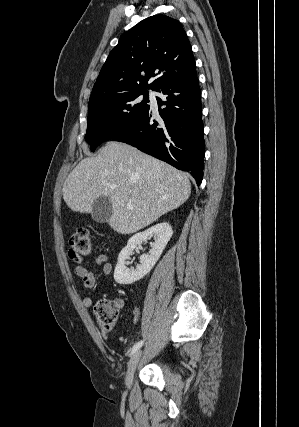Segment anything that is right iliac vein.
<instances>
[{"label":"right iliac vein","mask_w":299,"mask_h":427,"mask_svg":"<svg viewBox=\"0 0 299 427\" xmlns=\"http://www.w3.org/2000/svg\"><path fill=\"white\" fill-rule=\"evenodd\" d=\"M141 353H142L141 351L135 352L128 363V368L125 376V385L127 388H131L133 378H134V373L138 365V362L140 360Z\"/></svg>","instance_id":"1"}]
</instances>
